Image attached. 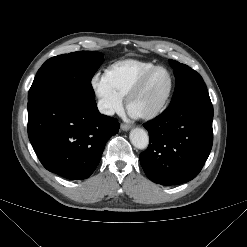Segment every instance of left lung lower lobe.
Returning a JSON list of instances; mask_svg holds the SVG:
<instances>
[{
  "label": "left lung lower lobe",
  "instance_id": "left-lung-lower-lobe-1",
  "mask_svg": "<svg viewBox=\"0 0 247 247\" xmlns=\"http://www.w3.org/2000/svg\"><path fill=\"white\" fill-rule=\"evenodd\" d=\"M213 106L210 97L170 105L144 124L150 144L140 154L147 177L158 184L178 185L195 178L213 143Z\"/></svg>",
  "mask_w": 247,
  "mask_h": 247
}]
</instances>
